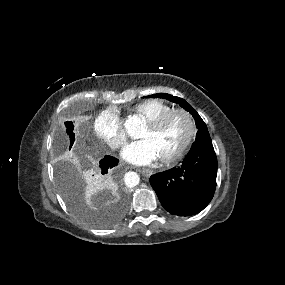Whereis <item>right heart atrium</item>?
<instances>
[{
  "label": "right heart atrium",
  "mask_w": 285,
  "mask_h": 285,
  "mask_svg": "<svg viewBox=\"0 0 285 285\" xmlns=\"http://www.w3.org/2000/svg\"><path fill=\"white\" fill-rule=\"evenodd\" d=\"M95 134L113 149H119L127 141L126 131L119 116L110 110L101 112L94 119Z\"/></svg>",
  "instance_id": "1"
}]
</instances>
